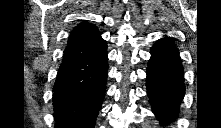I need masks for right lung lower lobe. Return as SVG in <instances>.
<instances>
[{
  "label": "right lung lower lobe",
  "instance_id": "right-lung-lower-lobe-1",
  "mask_svg": "<svg viewBox=\"0 0 221 128\" xmlns=\"http://www.w3.org/2000/svg\"><path fill=\"white\" fill-rule=\"evenodd\" d=\"M107 71V44L100 36L66 47L53 87L55 128H94Z\"/></svg>",
  "mask_w": 221,
  "mask_h": 128
}]
</instances>
